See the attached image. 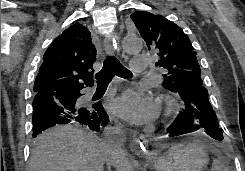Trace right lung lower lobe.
Segmentation results:
<instances>
[{"label": "right lung lower lobe", "instance_id": "1", "mask_svg": "<svg viewBox=\"0 0 245 171\" xmlns=\"http://www.w3.org/2000/svg\"><path fill=\"white\" fill-rule=\"evenodd\" d=\"M83 88L37 93L33 100V137L56 124L80 123L93 131L108 124V115L102 104H80Z\"/></svg>", "mask_w": 245, "mask_h": 171}]
</instances>
